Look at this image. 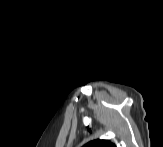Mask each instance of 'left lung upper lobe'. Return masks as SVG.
I'll use <instances>...</instances> for the list:
<instances>
[{
	"instance_id": "obj_1",
	"label": "left lung upper lobe",
	"mask_w": 163,
	"mask_h": 147,
	"mask_svg": "<svg viewBox=\"0 0 163 147\" xmlns=\"http://www.w3.org/2000/svg\"><path fill=\"white\" fill-rule=\"evenodd\" d=\"M84 147H116V146L107 140L97 139L87 143L86 145H84Z\"/></svg>"
}]
</instances>
